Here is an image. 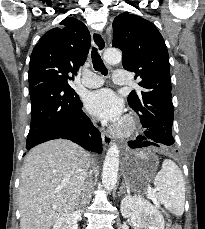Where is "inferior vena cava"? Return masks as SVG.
Instances as JSON below:
<instances>
[{"instance_id":"602c4592","label":"inferior vena cava","mask_w":205,"mask_h":229,"mask_svg":"<svg viewBox=\"0 0 205 229\" xmlns=\"http://www.w3.org/2000/svg\"><path fill=\"white\" fill-rule=\"evenodd\" d=\"M91 174V173H90ZM84 191V190H83ZM82 198L84 199V193H83V195H82Z\"/></svg>"}]
</instances>
